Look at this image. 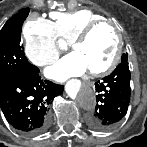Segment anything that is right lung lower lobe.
<instances>
[{
    "instance_id": "98d812e1",
    "label": "right lung lower lobe",
    "mask_w": 147,
    "mask_h": 147,
    "mask_svg": "<svg viewBox=\"0 0 147 147\" xmlns=\"http://www.w3.org/2000/svg\"><path fill=\"white\" fill-rule=\"evenodd\" d=\"M62 92V85L41 80L35 67L0 81V108L15 129L39 134L49 125L48 105Z\"/></svg>"
}]
</instances>
